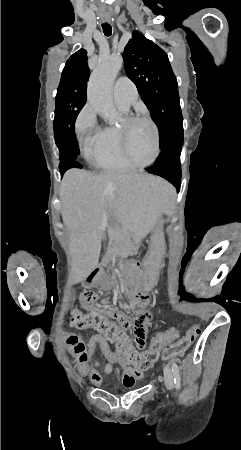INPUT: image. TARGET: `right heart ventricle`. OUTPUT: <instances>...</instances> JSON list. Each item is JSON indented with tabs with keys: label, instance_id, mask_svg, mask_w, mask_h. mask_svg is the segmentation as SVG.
<instances>
[{
	"label": "right heart ventricle",
	"instance_id": "right-heart-ventricle-1",
	"mask_svg": "<svg viewBox=\"0 0 241 450\" xmlns=\"http://www.w3.org/2000/svg\"><path fill=\"white\" fill-rule=\"evenodd\" d=\"M117 106L123 110L127 111L128 107L116 103ZM87 116H93L88 113ZM124 124H129L128 122H123V120L116 126H98L96 129L98 131V143L96 153L94 155H85L86 158L97 168H129L130 165L127 164V158L124 157V153L119 149V144L116 142V137L119 135V127ZM90 130H87V137ZM82 137V135H81ZM83 138L82 139H87ZM126 139V138H125Z\"/></svg>",
	"mask_w": 241,
	"mask_h": 450
}]
</instances>
